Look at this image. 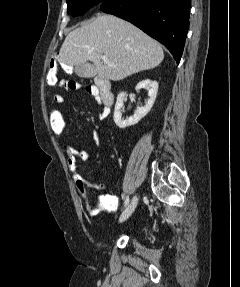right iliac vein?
<instances>
[{
  "label": "right iliac vein",
  "instance_id": "1",
  "mask_svg": "<svg viewBox=\"0 0 240 287\" xmlns=\"http://www.w3.org/2000/svg\"><path fill=\"white\" fill-rule=\"evenodd\" d=\"M138 203V197L135 195L130 204L127 206V208L123 211V213L120 216L119 222H124L125 220H127L131 214L134 212L136 206Z\"/></svg>",
  "mask_w": 240,
  "mask_h": 287
}]
</instances>
